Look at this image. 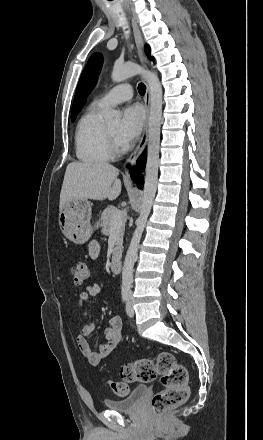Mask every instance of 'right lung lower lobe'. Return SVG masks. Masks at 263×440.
<instances>
[{"mask_svg":"<svg viewBox=\"0 0 263 440\" xmlns=\"http://www.w3.org/2000/svg\"><path fill=\"white\" fill-rule=\"evenodd\" d=\"M145 160H146V156L142 155L138 161H137V165L135 167L132 168L131 170V176L134 182L137 183V186L142 189L143 187V176H142V172L144 169V165H145Z\"/></svg>","mask_w":263,"mask_h":440,"instance_id":"98d812e1","label":"right lung lower lobe"}]
</instances>
